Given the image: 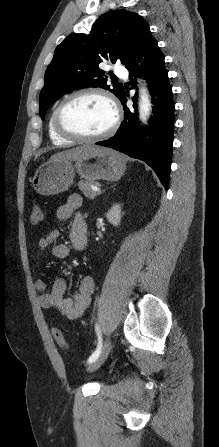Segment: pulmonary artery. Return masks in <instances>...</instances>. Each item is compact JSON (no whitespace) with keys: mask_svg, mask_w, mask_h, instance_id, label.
<instances>
[{"mask_svg":"<svg viewBox=\"0 0 219 447\" xmlns=\"http://www.w3.org/2000/svg\"><path fill=\"white\" fill-rule=\"evenodd\" d=\"M114 73L116 75H119V76H126L127 75V71H126L125 67L120 65V64H117L114 67Z\"/></svg>","mask_w":219,"mask_h":447,"instance_id":"obj_1","label":"pulmonary artery"}]
</instances>
